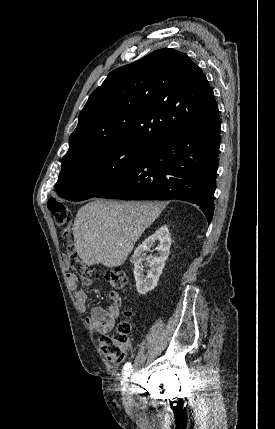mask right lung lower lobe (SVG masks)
Returning a JSON list of instances; mask_svg holds the SVG:
<instances>
[{
    "instance_id": "98d812e1",
    "label": "right lung lower lobe",
    "mask_w": 275,
    "mask_h": 429,
    "mask_svg": "<svg viewBox=\"0 0 275 429\" xmlns=\"http://www.w3.org/2000/svg\"><path fill=\"white\" fill-rule=\"evenodd\" d=\"M220 147V120L171 132L149 146L143 162L94 197L179 199L200 207L210 224Z\"/></svg>"
}]
</instances>
